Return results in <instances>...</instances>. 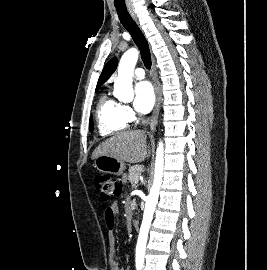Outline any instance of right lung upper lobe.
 Here are the masks:
<instances>
[{
	"mask_svg": "<svg viewBox=\"0 0 267 270\" xmlns=\"http://www.w3.org/2000/svg\"><path fill=\"white\" fill-rule=\"evenodd\" d=\"M117 64H118L117 58H113L110 61H108V63L105 65L101 73L96 89H99L101 85H103L108 80V78L114 73V71L117 68Z\"/></svg>",
	"mask_w": 267,
	"mask_h": 270,
	"instance_id": "right-lung-upper-lobe-1",
	"label": "right lung upper lobe"
}]
</instances>
